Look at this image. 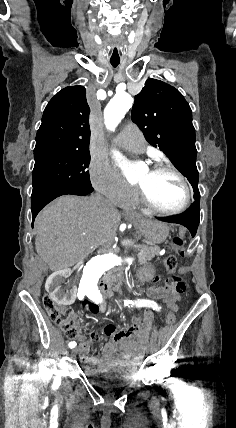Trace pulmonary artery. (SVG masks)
<instances>
[{"label":"pulmonary artery","instance_id":"1","mask_svg":"<svg viewBox=\"0 0 236 428\" xmlns=\"http://www.w3.org/2000/svg\"><path fill=\"white\" fill-rule=\"evenodd\" d=\"M120 147L129 150V151H135V150H144L145 146L143 145H138L136 143L133 142H122L119 144Z\"/></svg>","mask_w":236,"mask_h":428}]
</instances>
